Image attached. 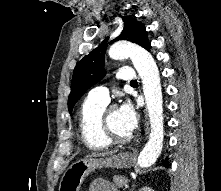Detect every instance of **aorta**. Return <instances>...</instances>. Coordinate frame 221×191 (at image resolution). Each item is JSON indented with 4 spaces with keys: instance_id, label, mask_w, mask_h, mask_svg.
<instances>
[{
    "instance_id": "762f6f07",
    "label": "aorta",
    "mask_w": 221,
    "mask_h": 191,
    "mask_svg": "<svg viewBox=\"0 0 221 191\" xmlns=\"http://www.w3.org/2000/svg\"><path fill=\"white\" fill-rule=\"evenodd\" d=\"M109 56L115 60L129 57L142 80L151 132L140 152L138 164L142 168L149 167L158 159L164 140L163 99L158 67L147 50L125 41L114 43L109 49Z\"/></svg>"
}]
</instances>
